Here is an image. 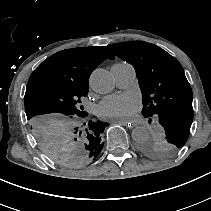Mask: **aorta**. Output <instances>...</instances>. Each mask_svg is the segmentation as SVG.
<instances>
[{"label": "aorta", "mask_w": 211, "mask_h": 211, "mask_svg": "<svg viewBox=\"0 0 211 211\" xmlns=\"http://www.w3.org/2000/svg\"><path fill=\"white\" fill-rule=\"evenodd\" d=\"M92 90L99 94H107L114 89V80L105 69H96L92 72L89 80ZM132 139L140 143L149 138L148 130L143 126H137L132 130Z\"/></svg>", "instance_id": "762f6f07"}]
</instances>
